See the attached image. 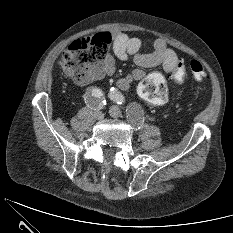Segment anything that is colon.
Instances as JSON below:
<instances>
[{
  "mask_svg": "<svg viewBox=\"0 0 233 233\" xmlns=\"http://www.w3.org/2000/svg\"><path fill=\"white\" fill-rule=\"evenodd\" d=\"M111 43V35L99 33L93 37H86L73 41L62 53L59 68L65 75L75 81L82 82L99 75ZM192 77L202 82L208 79V74L202 63L192 60L189 65ZM170 78L181 83L186 78V67L179 60ZM139 95L154 106H162L167 101V87L162 74L154 72L144 77L138 88Z\"/></svg>",
  "mask_w": 233,
  "mask_h": 233,
  "instance_id": "1",
  "label": "colon"
}]
</instances>
